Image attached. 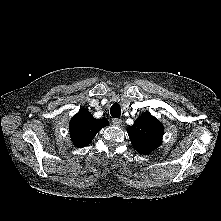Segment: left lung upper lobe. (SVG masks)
<instances>
[{
	"instance_id": "obj_1",
	"label": "left lung upper lobe",
	"mask_w": 221,
	"mask_h": 221,
	"mask_svg": "<svg viewBox=\"0 0 221 221\" xmlns=\"http://www.w3.org/2000/svg\"><path fill=\"white\" fill-rule=\"evenodd\" d=\"M127 131L133 147L141 154H149L161 144L164 128L158 119L145 112Z\"/></svg>"
}]
</instances>
